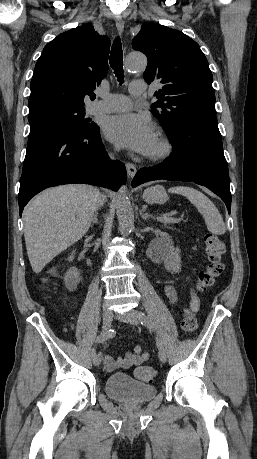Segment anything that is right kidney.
<instances>
[{"label":"right kidney","mask_w":257,"mask_h":459,"mask_svg":"<svg viewBox=\"0 0 257 459\" xmlns=\"http://www.w3.org/2000/svg\"><path fill=\"white\" fill-rule=\"evenodd\" d=\"M74 255H75V252L73 251L71 255L69 256L68 260L72 261L74 258ZM80 280H81L80 273L78 269L74 267L68 269V271L66 272L64 276V282H65L66 288L69 291L76 290L77 285L79 284Z\"/></svg>","instance_id":"1"}]
</instances>
